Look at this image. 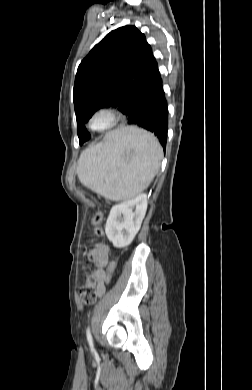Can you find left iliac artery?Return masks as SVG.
<instances>
[{
	"label": "left iliac artery",
	"instance_id": "obj_1",
	"mask_svg": "<svg viewBox=\"0 0 252 390\" xmlns=\"http://www.w3.org/2000/svg\"><path fill=\"white\" fill-rule=\"evenodd\" d=\"M86 335H87V340H88L89 346H90L91 350L93 351L94 350V344H93V339H92V335H91L89 327L86 330Z\"/></svg>",
	"mask_w": 252,
	"mask_h": 390
}]
</instances>
